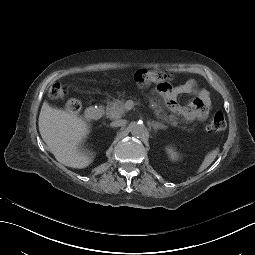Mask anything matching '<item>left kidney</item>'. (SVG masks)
Wrapping results in <instances>:
<instances>
[{"instance_id": "left-kidney-1", "label": "left kidney", "mask_w": 255, "mask_h": 255, "mask_svg": "<svg viewBox=\"0 0 255 255\" xmlns=\"http://www.w3.org/2000/svg\"><path fill=\"white\" fill-rule=\"evenodd\" d=\"M166 152L169 155L171 160H175L176 159L177 154H176V152L172 148H167Z\"/></svg>"}]
</instances>
